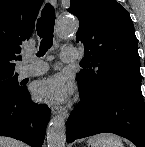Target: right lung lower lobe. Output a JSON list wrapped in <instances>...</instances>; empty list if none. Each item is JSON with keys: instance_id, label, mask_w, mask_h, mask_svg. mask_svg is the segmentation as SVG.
I'll return each instance as SVG.
<instances>
[{"instance_id": "obj_1", "label": "right lung lower lobe", "mask_w": 145, "mask_h": 147, "mask_svg": "<svg viewBox=\"0 0 145 147\" xmlns=\"http://www.w3.org/2000/svg\"><path fill=\"white\" fill-rule=\"evenodd\" d=\"M49 119L48 106L34 103L26 87L15 97H0V136L41 147Z\"/></svg>"}]
</instances>
